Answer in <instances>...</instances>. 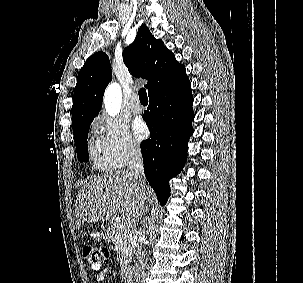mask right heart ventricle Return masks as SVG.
<instances>
[{
    "label": "right heart ventricle",
    "instance_id": "right-heart-ventricle-1",
    "mask_svg": "<svg viewBox=\"0 0 303 283\" xmlns=\"http://www.w3.org/2000/svg\"><path fill=\"white\" fill-rule=\"evenodd\" d=\"M90 153L95 168L99 170H108L112 167V164L103 156L100 149L93 143L90 146Z\"/></svg>",
    "mask_w": 303,
    "mask_h": 283
}]
</instances>
